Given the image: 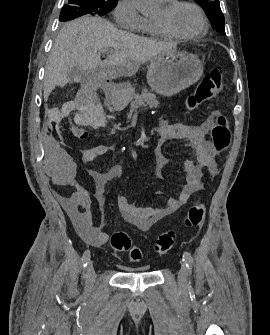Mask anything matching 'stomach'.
Wrapping results in <instances>:
<instances>
[{
  "label": "stomach",
  "mask_w": 270,
  "mask_h": 335,
  "mask_svg": "<svg viewBox=\"0 0 270 335\" xmlns=\"http://www.w3.org/2000/svg\"><path fill=\"white\" fill-rule=\"evenodd\" d=\"M204 66L196 54L190 52H165L150 60L147 82L160 96H175L192 84H196L203 74ZM121 92L125 102L133 98L134 88L124 86Z\"/></svg>",
  "instance_id": "1"
}]
</instances>
